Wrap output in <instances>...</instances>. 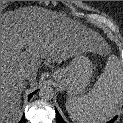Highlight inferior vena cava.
<instances>
[{
  "label": "inferior vena cava",
  "instance_id": "1",
  "mask_svg": "<svg viewBox=\"0 0 123 123\" xmlns=\"http://www.w3.org/2000/svg\"><path fill=\"white\" fill-rule=\"evenodd\" d=\"M20 78L22 79H29L30 78V74L26 71H23V73L20 75Z\"/></svg>",
  "mask_w": 123,
  "mask_h": 123
}]
</instances>
